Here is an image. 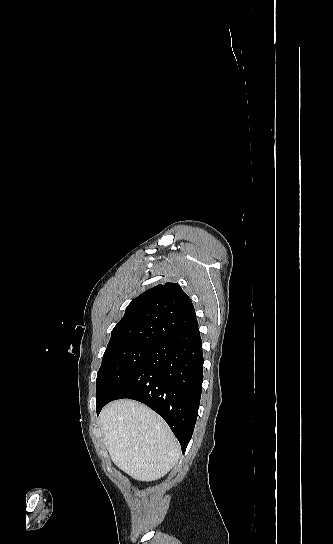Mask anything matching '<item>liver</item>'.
<instances>
[{
    "instance_id": "6515ba94",
    "label": "liver",
    "mask_w": 333,
    "mask_h": 544,
    "mask_svg": "<svg viewBox=\"0 0 333 544\" xmlns=\"http://www.w3.org/2000/svg\"><path fill=\"white\" fill-rule=\"evenodd\" d=\"M112 461L139 481H155L181 457L180 445L166 422L132 400L108 404L99 417Z\"/></svg>"
}]
</instances>
